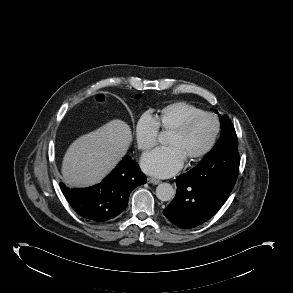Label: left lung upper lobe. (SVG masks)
Returning <instances> with one entry per match:
<instances>
[{"mask_svg":"<svg viewBox=\"0 0 293 293\" xmlns=\"http://www.w3.org/2000/svg\"><path fill=\"white\" fill-rule=\"evenodd\" d=\"M213 111L218 114L216 110ZM220 121L222 131L219 140L197 166L212 167L221 161H225L228 154H238V140L232 122L225 115L220 116Z\"/></svg>","mask_w":293,"mask_h":293,"instance_id":"obj_1","label":"left lung upper lobe"}]
</instances>
